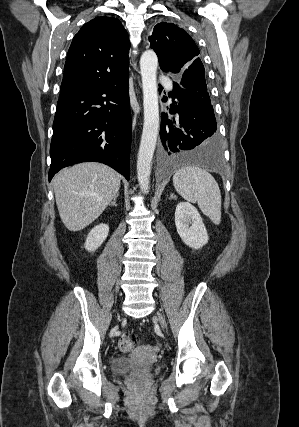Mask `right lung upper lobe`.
<instances>
[{"mask_svg": "<svg viewBox=\"0 0 299 427\" xmlns=\"http://www.w3.org/2000/svg\"><path fill=\"white\" fill-rule=\"evenodd\" d=\"M129 48L127 32L118 19L101 16L84 24L68 51L60 97L128 71Z\"/></svg>", "mask_w": 299, "mask_h": 427, "instance_id": "obj_1", "label": "right lung upper lobe"}]
</instances>
